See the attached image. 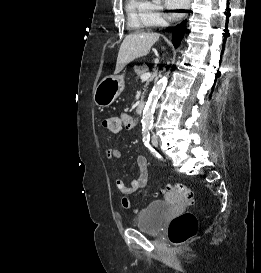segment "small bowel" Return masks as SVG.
<instances>
[{
  "instance_id": "1",
  "label": "small bowel",
  "mask_w": 261,
  "mask_h": 273,
  "mask_svg": "<svg viewBox=\"0 0 261 273\" xmlns=\"http://www.w3.org/2000/svg\"><path fill=\"white\" fill-rule=\"evenodd\" d=\"M120 119L126 129L130 130L135 127L136 120L133 116L127 113H122ZM105 154L108 159H116L121 157L122 151L116 148H108L106 149ZM136 162L139 168V176L136 179L131 180L129 184H127L122 178H116L115 180L116 187L123 194L121 205L125 209H130L131 207L129 196L135 194L139 189H145L147 185L148 161L146 156L142 154L138 155ZM134 212H137V210H134Z\"/></svg>"
}]
</instances>
